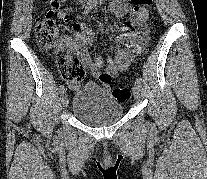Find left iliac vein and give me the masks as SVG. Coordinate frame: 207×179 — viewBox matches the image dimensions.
I'll return each mask as SVG.
<instances>
[{
    "label": "left iliac vein",
    "mask_w": 207,
    "mask_h": 179,
    "mask_svg": "<svg viewBox=\"0 0 207 179\" xmlns=\"http://www.w3.org/2000/svg\"><path fill=\"white\" fill-rule=\"evenodd\" d=\"M133 94L136 99H139L141 90H140V85L137 83H135L133 86Z\"/></svg>",
    "instance_id": "1"
}]
</instances>
